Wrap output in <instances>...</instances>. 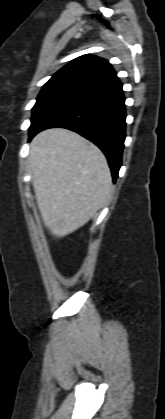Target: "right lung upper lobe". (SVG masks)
I'll use <instances>...</instances> for the list:
<instances>
[{
  "label": "right lung upper lobe",
  "instance_id": "1",
  "mask_svg": "<svg viewBox=\"0 0 165 419\" xmlns=\"http://www.w3.org/2000/svg\"><path fill=\"white\" fill-rule=\"evenodd\" d=\"M118 81L115 71L105 59L83 55L60 69L43 88H62L87 95Z\"/></svg>",
  "mask_w": 165,
  "mask_h": 419
}]
</instances>
